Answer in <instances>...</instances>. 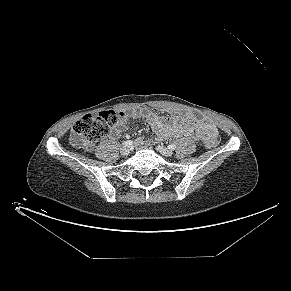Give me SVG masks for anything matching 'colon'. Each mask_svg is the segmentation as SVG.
<instances>
[{
    "instance_id": "1",
    "label": "colon",
    "mask_w": 291,
    "mask_h": 291,
    "mask_svg": "<svg viewBox=\"0 0 291 291\" xmlns=\"http://www.w3.org/2000/svg\"><path fill=\"white\" fill-rule=\"evenodd\" d=\"M125 112L104 111L98 115H85L75 122L72 128L70 140L78 147L86 151L92 150L97 142L107 137L120 123L125 122ZM208 147H215L219 143V135L214 132L205 139Z\"/></svg>"
}]
</instances>
